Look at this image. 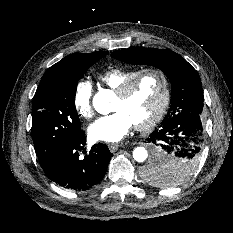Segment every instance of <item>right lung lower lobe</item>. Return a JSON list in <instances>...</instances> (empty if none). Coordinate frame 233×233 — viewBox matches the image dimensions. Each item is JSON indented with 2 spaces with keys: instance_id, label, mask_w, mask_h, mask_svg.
Instances as JSON below:
<instances>
[{
  "instance_id": "98d812e1",
  "label": "right lung lower lobe",
  "mask_w": 233,
  "mask_h": 233,
  "mask_svg": "<svg viewBox=\"0 0 233 233\" xmlns=\"http://www.w3.org/2000/svg\"><path fill=\"white\" fill-rule=\"evenodd\" d=\"M85 144L82 131L54 160L41 165L45 174L56 184L71 190L85 191L96 185L104 177L112 153L106 145L98 143L84 159H80L79 151Z\"/></svg>"
}]
</instances>
